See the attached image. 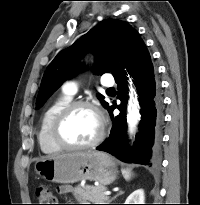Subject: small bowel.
Segmentation results:
<instances>
[{"label": "small bowel", "mask_w": 200, "mask_h": 205, "mask_svg": "<svg viewBox=\"0 0 200 205\" xmlns=\"http://www.w3.org/2000/svg\"><path fill=\"white\" fill-rule=\"evenodd\" d=\"M58 191L60 194H67L71 192V187L67 185L59 186Z\"/></svg>", "instance_id": "c3829d8e"}]
</instances>
